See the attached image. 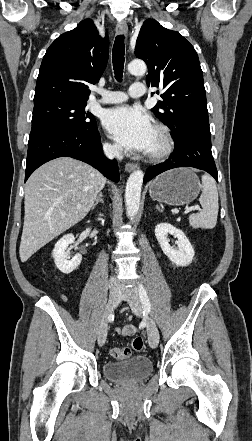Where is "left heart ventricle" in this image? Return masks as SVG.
I'll use <instances>...</instances> for the list:
<instances>
[{
  "label": "left heart ventricle",
  "mask_w": 252,
  "mask_h": 441,
  "mask_svg": "<svg viewBox=\"0 0 252 441\" xmlns=\"http://www.w3.org/2000/svg\"><path fill=\"white\" fill-rule=\"evenodd\" d=\"M160 146H161V143H160L159 136H158L157 133L155 132L154 141H153V144H152V146H151V148H150L149 151H155V150H158V149L160 148Z\"/></svg>",
  "instance_id": "b2bd125f"
}]
</instances>
